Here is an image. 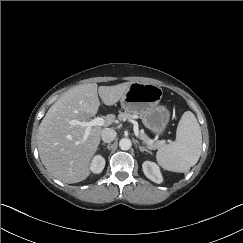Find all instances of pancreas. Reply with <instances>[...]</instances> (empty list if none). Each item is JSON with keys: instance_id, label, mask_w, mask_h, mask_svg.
<instances>
[{"instance_id": "cf45deb5", "label": "pancreas", "mask_w": 243, "mask_h": 243, "mask_svg": "<svg viewBox=\"0 0 243 243\" xmlns=\"http://www.w3.org/2000/svg\"><path fill=\"white\" fill-rule=\"evenodd\" d=\"M135 115L130 114L128 112H122L118 115L119 120H126V119H132ZM140 139L145 143L150 149H157L159 147L158 143H154L145 133L144 131H140Z\"/></svg>"}]
</instances>
